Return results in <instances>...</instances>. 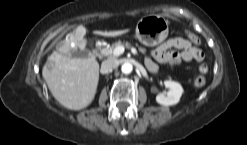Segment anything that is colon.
Listing matches in <instances>:
<instances>
[{"mask_svg": "<svg viewBox=\"0 0 247 145\" xmlns=\"http://www.w3.org/2000/svg\"><path fill=\"white\" fill-rule=\"evenodd\" d=\"M194 35L193 34H189V38H193ZM209 70V67L206 63H203L199 66V71L202 75L197 76L194 81H193V85L197 88L203 87L206 83V78L204 76V74H206Z\"/></svg>", "mask_w": 247, "mask_h": 145, "instance_id": "colon-1", "label": "colon"}]
</instances>
